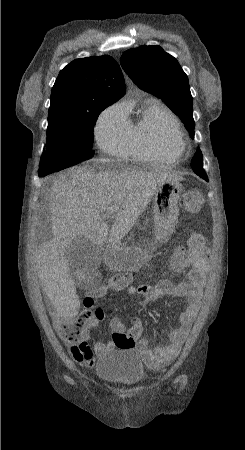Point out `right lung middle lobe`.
<instances>
[{"instance_id": "right-lung-middle-lobe-1", "label": "right lung middle lobe", "mask_w": 245, "mask_h": 450, "mask_svg": "<svg viewBox=\"0 0 245 450\" xmlns=\"http://www.w3.org/2000/svg\"><path fill=\"white\" fill-rule=\"evenodd\" d=\"M111 104H95L83 112L49 114L47 149L42 154L38 174H50L92 158L94 123Z\"/></svg>"}]
</instances>
